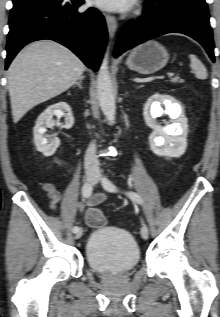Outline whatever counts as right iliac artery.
<instances>
[{"label":"right iliac artery","instance_id":"right-iliac-artery-1","mask_svg":"<svg viewBox=\"0 0 220 317\" xmlns=\"http://www.w3.org/2000/svg\"><path fill=\"white\" fill-rule=\"evenodd\" d=\"M93 187L91 183H85L82 188V194L84 198H89L92 194ZM80 228L78 226L73 227V232L76 233Z\"/></svg>","mask_w":220,"mask_h":317}]
</instances>
